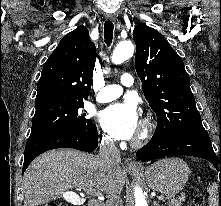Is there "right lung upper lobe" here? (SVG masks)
<instances>
[{
    "instance_id": "right-lung-upper-lobe-1",
    "label": "right lung upper lobe",
    "mask_w": 221,
    "mask_h": 206,
    "mask_svg": "<svg viewBox=\"0 0 221 206\" xmlns=\"http://www.w3.org/2000/svg\"><path fill=\"white\" fill-rule=\"evenodd\" d=\"M96 61V48L86 27L79 26L61 39L45 62L37 85L36 107L77 103L87 99Z\"/></svg>"
}]
</instances>
